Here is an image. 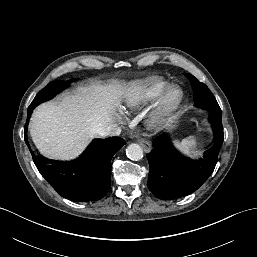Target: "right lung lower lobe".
<instances>
[{
    "label": "right lung lower lobe",
    "mask_w": 257,
    "mask_h": 257,
    "mask_svg": "<svg viewBox=\"0 0 257 257\" xmlns=\"http://www.w3.org/2000/svg\"><path fill=\"white\" fill-rule=\"evenodd\" d=\"M32 110L28 107V118ZM27 125L28 122L25 125L28 144ZM123 145L124 140L119 137L94 139L82 155L72 162L45 160L34 153L32 158L41 175L59 195L76 202L96 201L110 189V162Z\"/></svg>",
    "instance_id": "right-lung-lower-lobe-1"
}]
</instances>
